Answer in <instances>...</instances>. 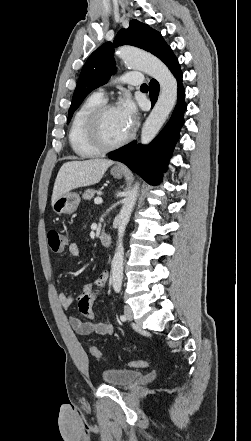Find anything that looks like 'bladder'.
<instances>
[{"instance_id": "1", "label": "bladder", "mask_w": 251, "mask_h": 441, "mask_svg": "<svg viewBox=\"0 0 251 441\" xmlns=\"http://www.w3.org/2000/svg\"><path fill=\"white\" fill-rule=\"evenodd\" d=\"M141 375L140 371L130 369H106L102 372L101 378L104 383L116 386L126 387L134 383Z\"/></svg>"}]
</instances>
